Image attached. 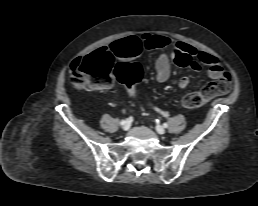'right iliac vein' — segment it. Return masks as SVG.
<instances>
[{
  "label": "right iliac vein",
  "instance_id": "right-iliac-vein-1",
  "mask_svg": "<svg viewBox=\"0 0 258 206\" xmlns=\"http://www.w3.org/2000/svg\"><path fill=\"white\" fill-rule=\"evenodd\" d=\"M130 126H131V122L129 120H126L122 125V128L124 131H128L130 129Z\"/></svg>",
  "mask_w": 258,
  "mask_h": 206
}]
</instances>
